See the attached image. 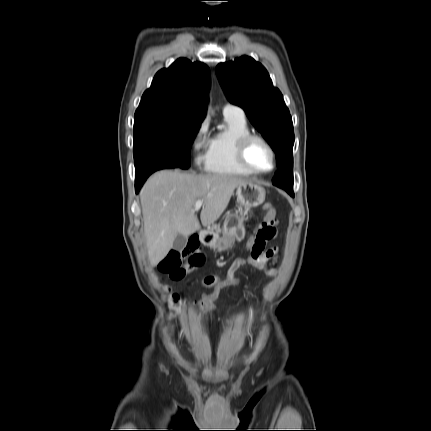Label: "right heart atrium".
<instances>
[{
  "mask_svg": "<svg viewBox=\"0 0 431 431\" xmlns=\"http://www.w3.org/2000/svg\"><path fill=\"white\" fill-rule=\"evenodd\" d=\"M208 126L206 122H201L194 131L190 140V150L193 157V163L197 167L206 164L210 140L207 137Z\"/></svg>",
  "mask_w": 431,
  "mask_h": 431,
  "instance_id": "d8ad5b80",
  "label": "right heart atrium"
}]
</instances>
